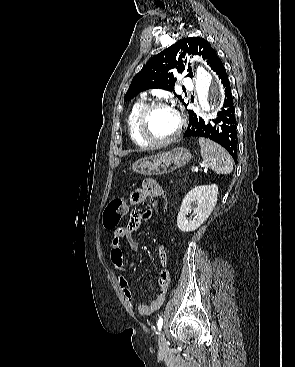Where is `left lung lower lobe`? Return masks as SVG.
Segmentation results:
<instances>
[{"label":"left lung lower lobe","mask_w":295,"mask_h":367,"mask_svg":"<svg viewBox=\"0 0 295 367\" xmlns=\"http://www.w3.org/2000/svg\"><path fill=\"white\" fill-rule=\"evenodd\" d=\"M213 71L216 72L224 87L225 99L223 106L217 113V117L213 120L214 125L206 124L194 112L188 111L189 126L183 137H204L213 140L223 146L236 161L238 138L235 108L228 75L220 59L217 60Z\"/></svg>","instance_id":"1"}]
</instances>
